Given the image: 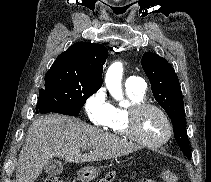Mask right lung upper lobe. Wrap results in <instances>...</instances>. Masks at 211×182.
Wrapping results in <instances>:
<instances>
[{"label": "right lung upper lobe", "mask_w": 211, "mask_h": 182, "mask_svg": "<svg viewBox=\"0 0 211 182\" xmlns=\"http://www.w3.org/2000/svg\"><path fill=\"white\" fill-rule=\"evenodd\" d=\"M108 57L105 46L90 42H76L61 53L50 70H62L82 81L102 86L103 64Z\"/></svg>", "instance_id": "cb5924a9"}]
</instances>
